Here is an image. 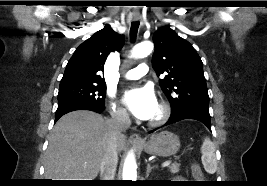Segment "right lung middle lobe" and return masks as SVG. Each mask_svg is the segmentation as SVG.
<instances>
[{"label":"right lung middle lobe","instance_id":"1","mask_svg":"<svg viewBox=\"0 0 267 186\" xmlns=\"http://www.w3.org/2000/svg\"><path fill=\"white\" fill-rule=\"evenodd\" d=\"M105 85L70 84L59 87L58 103L88 102L104 105Z\"/></svg>","mask_w":267,"mask_h":186}]
</instances>
